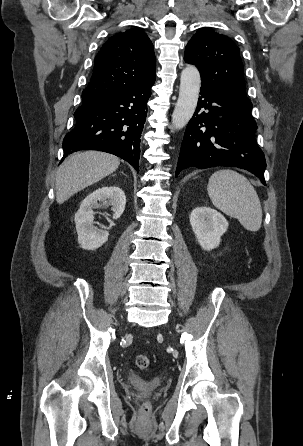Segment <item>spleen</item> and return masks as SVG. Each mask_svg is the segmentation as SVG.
<instances>
[{
  "instance_id": "1",
  "label": "spleen",
  "mask_w": 303,
  "mask_h": 446,
  "mask_svg": "<svg viewBox=\"0 0 303 446\" xmlns=\"http://www.w3.org/2000/svg\"><path fill=\"white\" fill-rule=\"evenodd\" d=\"M213 205L239 220L249 231H258L262 223V208L258 195L243 175L231 169L212 174L207 187Z\"/></svg>"
}]
</instances>
